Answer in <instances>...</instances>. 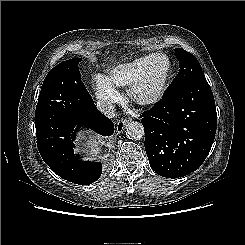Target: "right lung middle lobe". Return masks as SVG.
<instances>
[{"label":"right lung middle lobe","instance_id":"1","mask_svg":"<svg viewBox=\"0 0 245 245\" xmlns=\"http://www.w3.org/2000/svg\"><path fill=\"white\" fill-rule=\"evenodd\" d=\"M81 58L59 63L44 79L35 120L82 117L91 112L93 100L81 81L78 64Z\"/></svg>","mask_w":245,"mask_h":245}]
</instances>
